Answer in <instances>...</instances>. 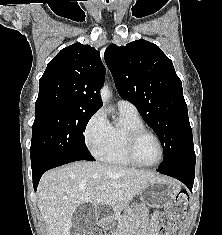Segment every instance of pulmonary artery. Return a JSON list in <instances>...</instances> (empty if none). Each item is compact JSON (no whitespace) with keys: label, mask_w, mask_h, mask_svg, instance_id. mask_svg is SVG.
I'll list each match as a JSON object with an SVG mask.
<instances>
[{"label":"pulmonary artery","mask_w":222,"mask_h":235,"mask_svg":"<svg viewBox=\"0 0 222 235\" xmlns=\"http://www.w3.org/2000/svg\"><path fill=\"white\" fill-rule=\"evenodd\" d=\"M117 107L121 111L130 112V113H138L135 105L124 99H119L117 101Z\"/></svg>","instance_id":"e3ab8cb5"}]
</instances>
